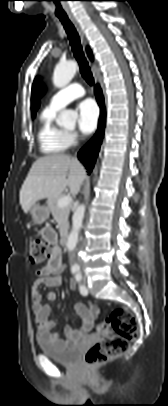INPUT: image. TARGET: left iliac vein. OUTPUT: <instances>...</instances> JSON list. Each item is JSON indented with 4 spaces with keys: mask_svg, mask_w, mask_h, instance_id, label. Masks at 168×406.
Wrapping results in <instances>:
<instances>
[{
    "mask_svg": "<svg viewBox=\"0 0 168 406\" xmlns=\"http://www.w3.org/2000/svg\"><path fill=\"white\" fill-rule=\"evenodd\" d=\"M83 281H84V283H86V277L85 276L83 277Z\"/></svg>",
    "mask_w": 168,
    "mask_h": 406,
    "instance_id": "4c4485c4",
    "label": "left iliac vein"
}]
</instances>
